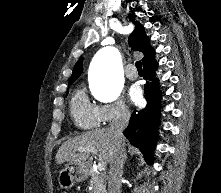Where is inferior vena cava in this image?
<instances>
[{"mask_svg":"<svg viewBox=\"0 0 221 193\" xmlns=\"http://www.w3.org/2000/svg\"><path fill=\"white\" fill-rule=\"evenodd\" d=\"M130 112L126 108H121L114 120L110 123V130L114 134L115 153L110 162L108 193H121V181L123 166L126 160L125 144L123 142V130L129 123Z\"/></svg>","mask_w":221,"mask_h":193,"instance_id":"inferior-vena-cava-1","label":"inferior vena cava"}]
</instances>
